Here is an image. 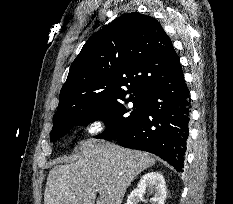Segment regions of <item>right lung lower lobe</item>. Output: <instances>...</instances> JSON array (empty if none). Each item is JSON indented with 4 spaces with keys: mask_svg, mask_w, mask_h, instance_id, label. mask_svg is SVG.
<instances>
[{
    "mask_svg": "<svg viewBox=\"0 0 233 204\" xmlns=\"http://www.w3.org/2000/svg\"><path fill=\"white\" fill-rule=\"evenodd\" d=\"M145 97L144 111L136 122L108 140H117L126 148L153 153L182 171L189 137L191 99L180 62Z\"/></svg>",
    "mask_w": 233,
    "mask_h": 204,
    "instance_id": "right-lung-lower-lobe-1",
    "label": "right lung lower lobe"
}]
</instances>
